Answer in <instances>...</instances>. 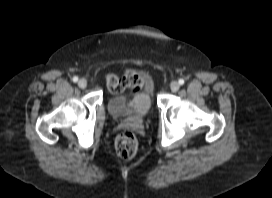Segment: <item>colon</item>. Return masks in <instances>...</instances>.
Here are the masks:
<instances>
[{
  "label": "colon",
  "mask_w": 272,
  "mask_h": 198,
  "mask_svg": "<svg viewBox=\"0 0 272 198\" xmlns=\"http://www.w3.org/2000/svg\"><path fill=\"white\" fill-rule=\"evenodd\" d=\"M114 145L117 155L124 160L132 159L138 151L137 137L130 131L118 134Z\"/></svg>",
  "instance_id": "5ec220e1"
}]
</instances>
